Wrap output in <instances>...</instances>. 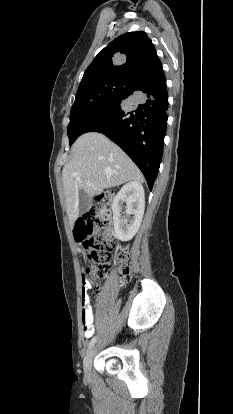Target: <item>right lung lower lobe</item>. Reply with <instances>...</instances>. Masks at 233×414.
<instances>
[{
    "mask_svg": "<svg viewBox=\"0 0 233 414\" xmlns=\"http://www.w3.org/2000/svg\"><path fill=\"white\" fill-rule=\"evenodd\" d=\"M168 93L163 70L131 81L123 96L90 116L79 136L99 132L107 136L135 162L151 190L163 154L167 127Z\"/></svg>",
    "mask_w": 233,
    "mask_h": 414,
    "instance_id": "right-lung-lower-lobe-1",
    "label": "right lung lower lobe"
}]
</instances>
